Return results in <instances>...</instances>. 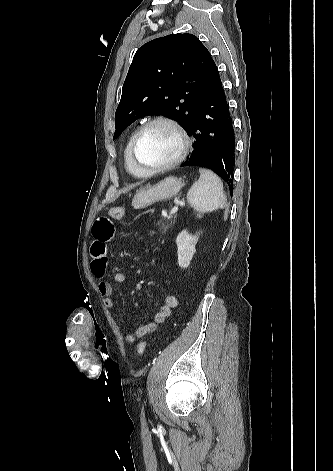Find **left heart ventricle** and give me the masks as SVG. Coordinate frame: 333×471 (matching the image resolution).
<instances>
[{"mask_svg": "<svg viewBox=\"0 0 333 471\" xmlns=\"http://www.w3.org/2000/svg\"><path fill=\"white\" fill-rule=\"evenodd\" d=\"M180 151L176 132L165 124H155L145 133L139 149V161L145 166H158L172 161Z\"/></svg>", "mask_w": 333, "mask_h": 471, "instance_id": "b2bd125f", "label": "left heart ventricle"}]
</instances>
